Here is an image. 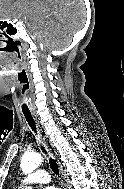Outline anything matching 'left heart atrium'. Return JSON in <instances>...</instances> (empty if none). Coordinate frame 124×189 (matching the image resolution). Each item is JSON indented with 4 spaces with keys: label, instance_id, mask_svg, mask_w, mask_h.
Returning <instances> with one entry per match:
<instances>
[{
    "label": "left heart atrium",
    "instance_id": "1",
    "mask_svg": "<svg viewBox=\"0 0 124 189\" xmlns=\"http://www.w3.org/2000/svg\"><path fill=\"white\" fill-rule=\"evenodd\" d=\"M45 189H57L55 187H46Z\"/></svg>",
    "mask_w": 124,
    "mask_h": 189
}]
</instances>
